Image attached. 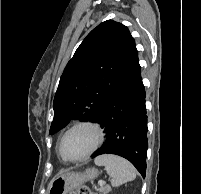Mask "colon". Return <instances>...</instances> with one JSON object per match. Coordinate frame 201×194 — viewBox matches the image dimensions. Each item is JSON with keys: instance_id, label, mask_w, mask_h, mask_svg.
<instances>
[{"instance_id": "1", "label": "colon", "mask_w": 201, "mask_h": 194, "mask_svg": "<svg viewBox=\"0 0 201 194\" xmlns=\"http://www.w3.org/2000/svg\"><path fill=\"white\" fill-rule=\"evenodd\" d=\"M70 194H97L85 185L80 186L76 190L72 191Z\"/></svg>"}]
</instances>
